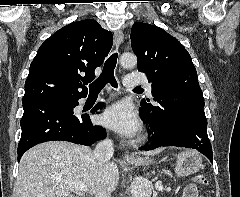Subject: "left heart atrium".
<instances>
[{"mask_svg":"<svg viewBox=\"0 0 240 197\" xmlns=\"http://www.w3.org/2000/svg\"><path fill=\"white\" fill-rule=\"evenodd\" d=\"M101 122L107 128L124 136H133L140 129V121L136 111L128 102H118L107 108Z\"/></svg>","mask_w":240,"mask_h":197,"instance_id":"obj_1","label":"left heart atrium"}]
</instances>
